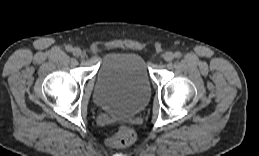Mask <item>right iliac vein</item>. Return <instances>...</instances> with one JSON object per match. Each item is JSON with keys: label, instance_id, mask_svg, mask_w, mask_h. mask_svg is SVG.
<instances>
[{"label": "right iliac vein", "instance_id": "63e3f726", "mask_svg": "<svg viewBox=\"0 0 259 156\" xmlns=\"http://www.w3.org/2000/svg\"><path fill=\"white\" fill-rule=\"evenodd\" d=\"M72 53H73L74 56L78 57V56L81 55L82 51H81L80 48L76 47V48H74V49L72 50Z\"/></svg>", "mask_w": 259, "mask_h": 156}]
</instances>
